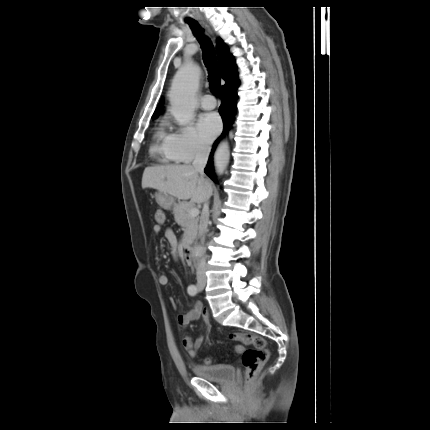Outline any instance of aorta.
<instances>
[{
    "mask_svg": "<svg viewBox=\"0 0 430 430\" xmlns=\"http://www.w3.org/2000/svg\"><path fill=\"white\" fill-rule=\"evenodd\" d=\"M199 84V70L194 64L185 65L175 75L169 92L171 114L179 125L189 123L194 116L195 95ZM229 162L228 143L221 142L214 155V165L217 173H222ZM202 254L201 247H195L193 256Z\"/></svg>",
    "mask_w": 430,
    "mask_h": 430,
    "instance_id": "obj_1",
    "label": "aorta"
}]
</instances>
